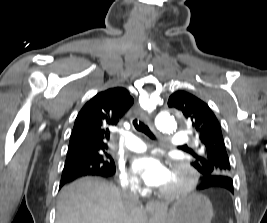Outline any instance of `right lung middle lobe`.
<instances>
[{"label":"right lung middle lobe","mask_w":267,"mask_h":223,"mask_svg":"<svg viewBox=\"0 0 267 223\" xmlns=\"http://www.w3.org/2000/svg\"><path fill=\"white\" fill-rule=\"evenodd\" d=\"M63 171L112 175L115 172V163L108 151L95 152L93 149L89 148L81 155H68Z\"/></svg>","instance_id":"obj_1"}]
</instances>
